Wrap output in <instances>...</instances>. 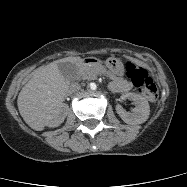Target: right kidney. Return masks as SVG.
Segmentation results:
<instances>
[{"mask_svg": "<svg viewBox=\"0 0 187 187\" xmlns=\"http://www.w3.org/2000/svg\"><path fill=\"white\" fill-rule=\"evenodd\" d=\"M67 113H68V107L64 104H61L57 108L55 113L49 118L46 125L49 126V127L59 126L64 121V119L66 118Z\"/></svg>", "mask_w": 187, "mask_h": 187, "instance_id": "obj_1", "label": "right kidney"}]
</instances>
